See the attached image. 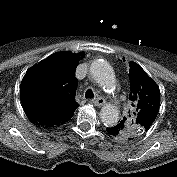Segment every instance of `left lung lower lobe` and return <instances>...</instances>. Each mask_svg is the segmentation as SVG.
Returning a JSON list of instances; mask_svg holds the SVG:
<instances>
[{
	"label": "left lung lower lobe",
	"mask_w": 177,
	"mask_h": 177,
	"mask_svg": "<svg viewBox=\"0 0 177 177\" xmlns=\"http://www.w3.org/2000/svg\"><path fill=\"white\" fill-rule=\"evenodd\" d=\"M107 133L112 137V138H117L120 135V130L116 125L111 126L106 128ZM136 137L130 136L127 138V140H134Z\"/></svg>",
	"instance_id": "0a47b994"
}]
</instances>
